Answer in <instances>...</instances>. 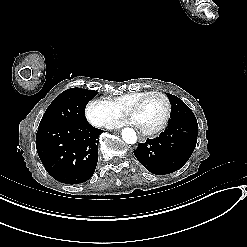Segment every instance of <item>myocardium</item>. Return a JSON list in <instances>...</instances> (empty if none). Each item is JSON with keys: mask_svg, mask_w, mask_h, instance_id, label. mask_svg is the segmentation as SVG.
<instances>
[{"mask_svg": "<svg viewBox=\"0 0 247 247\" xmlns=\"http://www.w3.org/2000/svg\"><path fill=\"white\" fill-rule=\"evenodd\" d=\"M154 95L161 96L165 100V102H166V112H165V116H164L162 122L158 126H156L154 128H143V127H140V126H138L136 124L137 127L145 135H153L155 133L160 132L163 128H165V126L167 125L168 121L170 120V117H171V114H172V103H171V100L169 99V97L166 94H164L163 92H161V91H150V92L147 93L145 98L150 97V96H154ZM142 101L143 100H138L133 105L135 107L136 111L138 112L136 118L139 116V112H140V109H141V106H142Z\"/></svg>", "mask_w": 247, "mask_h": 247, "instance_id": "myocardium-1", "label": "myocardium"}]
</instances>
